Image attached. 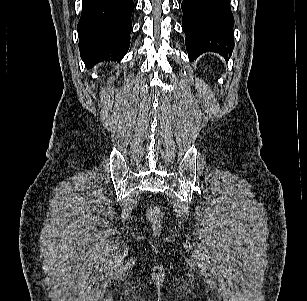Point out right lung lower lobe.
Listing matches in <instances>:
<instances>
[{"mask_svg":"<svg viewBox=\"0 0 307 301\" xmlns=\"http://www.w3.org/2000/svg\"><path fill=\"white\" fill-rule=\"evenodd\" d=\"M133 0H82L77 26L79 50L87 68L101 61L119 62L132 31Z\"/></svg>","mask_w":307,"mask_h":301,"instance_id":"98d812e1","label":"right lung lower lobe"}]
</instances>
